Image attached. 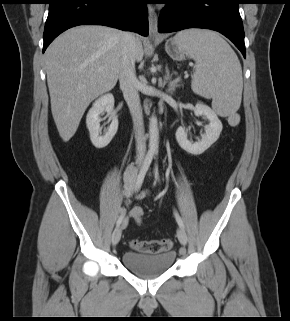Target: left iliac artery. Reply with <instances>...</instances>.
Wrapping results in <instances>:
<instances>
[{
  "label": "left iliac artery",
  "instance_id": "left-iliac-artery-1",
  "mask_svg": "<svg viewBox=\"0 0 290 321\" xmlns=\"http://www.w3.org/2000/svg\"><path fill=\"white\" fill-rule=\"evenodd\" d=\"M154 174H155V178H156L157 180H159V171H158L157 165H155ZM174 215H175V218H176V221H177L178 225H179L182 229H184V224H183V221H182L181 217L179 216V214L175 211V212H174Z\"/></svg>",
  "mask_w": 290,
  "mask_h": 321
}]
</instances>
